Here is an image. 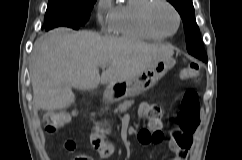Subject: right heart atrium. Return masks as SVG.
Instances as JSON below:
<instances>
[{"instance_id": "d8ad5b80", "label": "right heart atrium", "mask_w": 242, "mask_h": 160, "mask_svg": "<svg viewBox=\"0 0 242 160\" xmlns=\"http://www.w3.org/2000/svg\"><path fill=\"white\" fill-rule=\"evenodd\" d=\"M115 6L112 0H97L96 18L98 23L107 30L112 29Z\"/></svg>"}]
</instances>
